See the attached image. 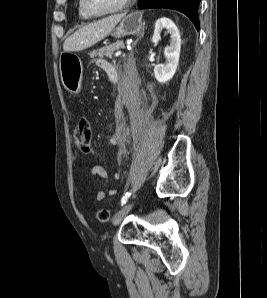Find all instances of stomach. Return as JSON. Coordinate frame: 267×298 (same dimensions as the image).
I'll use <instances>...</instances> for the list:
<instances>
[{"label":"stomach","instance_id":"stomach-1","mask_svg":"<svg viewBox=\"0 0 267 298\" xmlns=\"http://www.w3.org/2000/svg\"><path fill=\"white\" fill-rule=\"evenodd\" d=\"M142 12H132L121 20L119 25L112 30L111 35L121 38L127 35H138L144 30ZM82 65L80 59L71 52H63L60 56V76L63 86L67 91L78 94L81 90Z\"/></svg>","mask_w":267,"mask_h":298}]
</instances>
